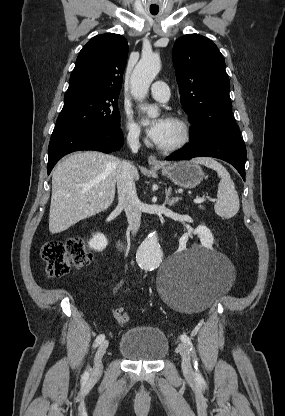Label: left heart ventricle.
Here are the masks:
<instances>
[{
	"instance_id": "1",
	"label": "left heart ventricle",
	"mask_w": 285,
	"mask_h": 416,
	"mask_svg": "<svg viewBox=\"0 0 285 416\" xmlns=\"http://www.w3.org/2000/svg\"><path fill=\"white\" fill-rule=\"evenodd\" d=\"M178 136H179V132H178L177 128L170 121L168 132H167V134L165 136V139L163 140V142L161 143L160 146H169V145L173 144L178 139Z\"/></svg>"
}]
</instances>
